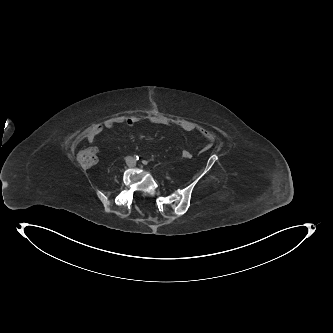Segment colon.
<instances>
[{"label":"colon","mask_w":333,"mask_h":333,"mask_svg":"<svg viewBox=\"0 0 333 333\" xmlns=\"http://www.w3.org/2000/svg\"><path fill=\"white\" fill-rule=\"evenodd\" d=\"M193 156H196V153H191V151L188 148H185L181 151V158L190 160ZM77 161L80 166L89 168L96 164L97 156H96V150L93 148H88L80 151L77 154Z\"/></svg>","instance_id":"colon-1"}]
</instances>
